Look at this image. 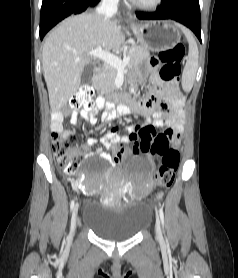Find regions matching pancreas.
I'll list each match as a JSON object with an SVG mask.
<instances>
[{
	"label": "pancreas",
	"mask_w": 238,
	"mask_h": 278,
	"mask_svg": "<svg viewBox=\"0 0 238 278\" xmlns=\"http://www.w3.org/2000/svg\"><path fill=\"white\" fill-rule=\"evenodd\" d=\"M123 56L130 58L128 66L133 67L148 58L149 49L143 46H132ZM116 76L117 69L106 63L103 65L100 74L94 79L93 86L103 94L111 93L115 90Z\"/></svg>",
	"instance_id": "1"
}]
</instances>
